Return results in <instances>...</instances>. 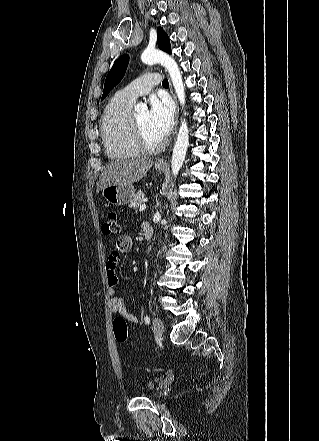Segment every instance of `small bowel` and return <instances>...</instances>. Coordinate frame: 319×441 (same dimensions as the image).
I'll list each match as a JSON object with an SVG mask.
<instances>
[{
  "instance_id": "c3829d8e",
  "label": "small bowel",
  "mask_w": 319,
  "mask_h": 441,
  "mask_svg": "<svg viewBox=\"0 0 319 441\" xmlns=\"http://www.w3.org/2000/svg\"><path fill=\"white\" fill-rule=\"evenodd\" d=\"M132 244L133 241L128 235H121L118 239H116V250L111 252L108 256L105 273L108 286L107 293L110 296L111 312L113 314L121 315L133 324H137L139 322V318L127 310L123 298L116 294V287L118 285L116 269L120 261V254L130 251Z\"/></svg>"
}]
</instances>
